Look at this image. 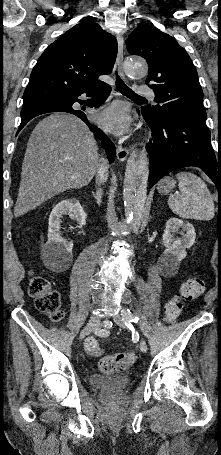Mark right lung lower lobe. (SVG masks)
I'll list each match as a JSON object with an SVG mask.
<instances>
[{
    "instance_id": "obj_1",
    "label": "right lung lower lobe",
    "mask_w": 221,
    "mask_h": 455,
    "mask_svg": "<svg viewBox=\"0 0 221 455\" xmlns=\"http://www.w3.org/2000/svg\"><path fill=\"white\" fill-rule=\"evenodd\" d=\"M111 92V87L103 81H92L86 84H83L66 95L53 100H46L37 103H33L27 106H23L21 110V124L18 132L34 117L49 113V112H66L73 115H76L82 119L90 128L92 132L97 134L99 139L104 145L107 156L110 162H113L115 158V146L111 140L96 126L92 125L89 121L86 120V115L82 110H77L72 107L75 102L82 104V100L78 99L81 95H86L90 97L87 100L90 107L98 108L108 97Z\"/></svg>"
}]
</instances>
